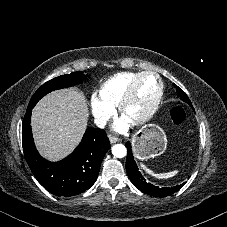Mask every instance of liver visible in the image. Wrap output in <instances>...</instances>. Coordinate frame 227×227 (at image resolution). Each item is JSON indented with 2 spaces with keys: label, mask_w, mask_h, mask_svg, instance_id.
Instances as JSON below:
<instances>
[{
  "label": "liver",
  "mask_w": 227,
  "mask_h": 227,
  "mask_svg": "<svg viewBox=\"0 0 227 227\" xmlns=\"http://www.w3.org/2000/svg\"><path fill=\"white\" fill-rule=\"evenodd\" d=\"M88 103L77 89L49 93L34 107L32 130L37 149L49 161H59L79 144L88 121Z\"/></svg>",
  "instance_id": "liver-1"
}]
</instances>
